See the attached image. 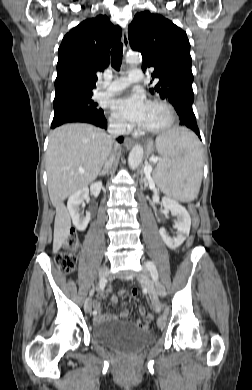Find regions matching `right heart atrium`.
I'll use <instances>...</instances> for the list:
<instances>
[{
    "instance_id": "obj_1",
    "label": "right heart atrium",
    "mask_w": 252,
    "mask_h": 390,
    "mask_svg": "<svg viewBox=\"0 0 252 390\" xmlns=\"http://www.w3.org/2000/svg\"><path fill=\"white\" fill-rule=\"evenodd\" d=\"M110 124L113 128L118 130H125L127 128V124L116 116L110 118Z\"/></svg>"
}]
</instances>
